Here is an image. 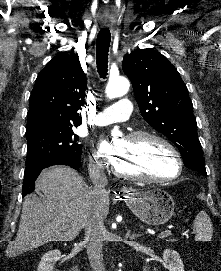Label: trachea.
<instances>
[{
  "label": "trachea",
  "instance_id": "obj_1",
  "mask_svg": "<svg viewBox=\"0 0 221 271\" xmlns=\"http://www.w3.org/2000/svg\"><path fill=\"white\" fill-rule=\"evenodd\" d=\"M111 33L108 28H101L96 41V63L101 78H106L108 72V52Z\"/></svg>",
  "mask_w": 221,
  "mask_h": 271
}]
</instances>
